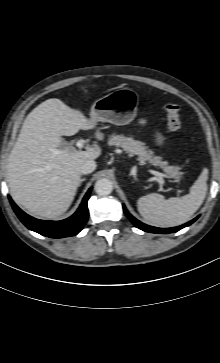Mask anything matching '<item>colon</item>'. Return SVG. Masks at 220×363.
<instances>
[{
  "label": "colon",
  "mask_w": 220,
  "mask_h": 363,
  "mask_svg": "<svg viewBox=\"0 0 220 363\" xmlns=\"http://www.w3.org/2000/svg\"><path fill=\"white\" fill-rule=\"evenodd\" d=\"M166 115L170 131H179L182 127V122L180 119V107L177 104H168L166 106Z\"/></svg>",
  "instance_id": "1"
}]
</instances>
